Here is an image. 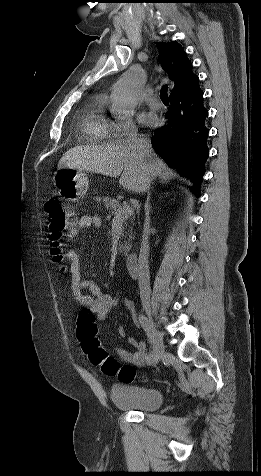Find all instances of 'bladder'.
<instances>
[{
	"instance_id": "31cf9c89",
	"label": "bladder",
	"mask_w": 261,
	"mask_h": 476,
	"mask_svg": "<svg viewBox=\"0 0 261 476\" xmlns=\"http://www.w3.org/2000/svg\"><path fill=\"white\" fill-rule=\"evenodd\" d=\"M110 398L117 408L128 411L152 412L163 403L161 390L126 383L113 385Z\"/></svg>"
}]
</instances>
